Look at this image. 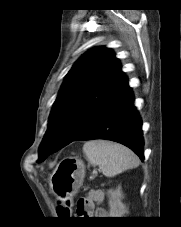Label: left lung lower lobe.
<instances>
[{
    "label": "left lung lower lobe",
    "mask_w": 181,
    "mask_h": 227,
    "mask_svg": "<svg viewBox=\"0 0 181 227\" xmlns=\"http://www.w3.org/2000/svg\"><path fill=\"white\" fill-rule=\"evenodd\" d=\"M106 139L121 143L144 160L141 118L126 80L93 113L74 141Z\"/></svg>",
    "instance_id": "0a47b994"
}]
</instances>
